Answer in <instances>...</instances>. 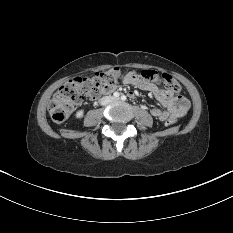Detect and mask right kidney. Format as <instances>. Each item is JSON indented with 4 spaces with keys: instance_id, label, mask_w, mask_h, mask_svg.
Instances as JSON below:
<instances>
[{
    "instance_id": "ca27d5eb",
    "label": "right kidney",
    "mask_w": 233,
    "mask_h": 233,
    "mask_svg": "<svg viewBox=\"0 0 233 233\" xmlns=\"http://www.w3.org/2000/svg\"><path fill=\"white\" fill-rule=\"evenodd\" d=\"M83 115H84V111L83 110H79V111L76 112L75 116H76L77 119H80V118L83 117Z\"/></svg>"
}]
</instances>
